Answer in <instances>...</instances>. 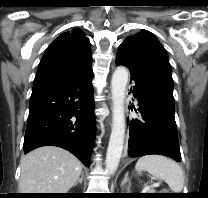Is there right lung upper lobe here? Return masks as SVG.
Instances as JSON below:
<instances>
[{"mask_svg": "<svg viewBox=\"0 0 208 198\" xmlns=\"http://www.w3.org/2000/svg\"><path fill=\"white\" fill-rule=\"evenodd\" d=\"M91 70L92 52L88 38L77 28L63 33L43 55L32 95L69 85Z\"/></svg>", "mask_w": 208, "mask_h": 198, "instance_id": "1", "label": "right lung upper lobe"}]
</instances>
